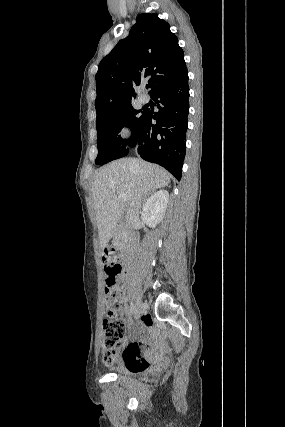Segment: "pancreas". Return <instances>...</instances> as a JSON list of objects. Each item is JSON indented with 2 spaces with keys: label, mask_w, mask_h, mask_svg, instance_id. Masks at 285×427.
<instances>
[{
  "label": "pancreas",
  "mask_w": 285,
  "mask_h": 427,
  "mask_svg": "<svg viewBox=\"0 0 285 427\" xmlns=\"http://www.w3.org/2000/svg\"><path fill=\"white\" fill-rule=\"evenodd\" d=\"M122 239H123V238H122ZM115 242H116V244H117V246H118V247H121V246H122V242H121V241L116 240Z\"/></svg>",
  "instance_id": "pancreas-1"
}]
</instances>
